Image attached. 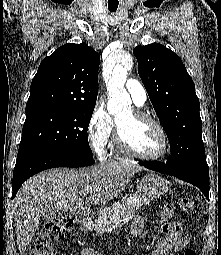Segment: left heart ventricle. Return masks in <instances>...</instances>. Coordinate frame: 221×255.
Listing matches in <instances>:
<instances>
[{
	"label": "left heart ventricle",
	"mask_w": 221,
	"mask_h": 255,
	"mask_svg": "<svg viewBox=\"0 0 221 255\" xmlns=\"http://www.w3.org/2000/svg\"><path fill=\"white\" fill-rule=\"evenodd\" d=\"M118 127L131 146L141 154L153 156L161 152L163 142L157 128L134 118L131 111L118 119Z\"/></svg>",
	"instance_id": "left-heart-ventricle-1"
}]
</instances>
